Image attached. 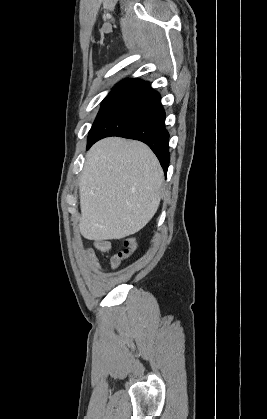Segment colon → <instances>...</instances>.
Wrapping results in <instances>:
<instances>
[{
    "label": "colon",
    "instance_id": "colon-1",
    "mask_svg": "<svg viewBox=\"0 0 267 419\" xmlns=\"http://www.w3.org/2000/svg\"><path fill=\"white\" fill-rule=\"evenodd\" d=\"M137 246V242L135 240V238L133 237H128L125 239L124 241V248L122 251H120L117 255L118 258L120 260H122L123 258L128 257L130 254H132L134 252V250L136 249Z\"/></svg>",
    "mask_w": 267,
    "mask_h": 419
}]
</instances>
